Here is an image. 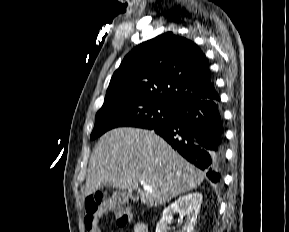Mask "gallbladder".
<instances>
[{"mask_svg":"<svg viewBox=\"0 0 289 232\" xmlns=\"http://www.w3.org/2000/svg\"><path fill=\"white\" fill-rule=\"evenodd\" d=\"M130 199L135 200L136 198L132 193L127 191H115L112 196L108 199V204L110 206H121L127 204Z\"/></svg>","mask_w":289,"mask_h":232,"instance_id":"gallbladder-1","label":"gallbladder"}]
</instances>
